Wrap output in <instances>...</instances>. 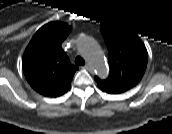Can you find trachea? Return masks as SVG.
<instances>
[{
  "mask_svg": "<svg viewBox=\"0 0 172 134\" xmlns=\"http://www.w3.org/2000/svg\"><path fill=\"white\" fill-rule=\"evenodd\" d=\"M75 63H76L77 65H84V64H85V61H84V59H83L82 57L77 56V57L75 58Z\"/></svg>",
  "mask_w": 172,
  "mask_h": 134,
  "instance_id": "obj_1",
  "label": "trachea"
}]
</instances>
